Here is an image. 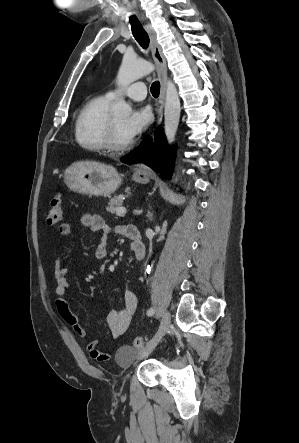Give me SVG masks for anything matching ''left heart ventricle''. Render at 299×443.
Returning <instances> with one entry per match:
<instances>
[{
  "instance_id": "1",
  "label": "left heart ventricle",
  "mask_w": 299,
  "mask_h": 443,
  "mask_svg": "<svg viewBox=\"0 0 299 443\" xmlns=\"http://www.w3.org/2000/svg\"><path fill=\"white\" fill-rule=\"evenodd\" d=\"M115 127H116V131H117V139L120 143H126L128 141H130V139L124 134L123 132V124L126 120L125 116H114L112 117Z\"/></svg>"
}]
</instances>
